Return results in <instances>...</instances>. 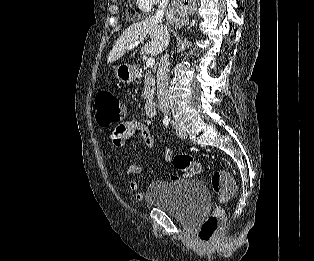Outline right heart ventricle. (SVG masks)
<instances>
[{
    "mask_svg": "<svg viewBox=\"0 0 314 261\" xmlns=\"http://www.w3.org/2000/svg\"><path fill=\"white\" fill-rule=\"evenodd\" d=\"M136 1H137L138 7H139L140 9H143V7H142L141 3L139 2V0H136Z\"/></svg>",
    "mask_w": 314,
    "mask_h": 261,
    "instance_id": "right-heart-ventricle-1",
    "label": "right heart ventricle"
}]
</instances>
